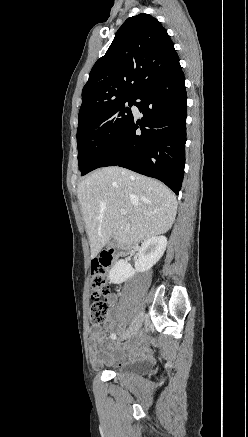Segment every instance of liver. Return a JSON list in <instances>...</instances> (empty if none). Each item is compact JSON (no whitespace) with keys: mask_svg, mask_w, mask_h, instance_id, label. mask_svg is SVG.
I'll return each instance as SVG.
<instances>
[{"mask_svg":"<svg viewBox=\"0 0 248 437\" xmlns=\"http://www.w3.org/2000/svg\"><path fill=\"white\" fill-rule=\"evenodd\" d=\"M77 197L91 258L112 238L132 246L166 233L177 213L176 196L164 184L116 166L98 169L79 182Z\"/></svg>","mask_w":248,"mask_h":437,"instance_id":"6515ba94","label":"liver"}]
</instances>
